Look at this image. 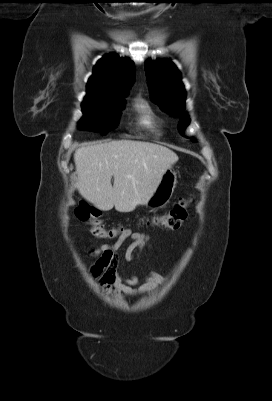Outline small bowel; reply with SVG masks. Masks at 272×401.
Instances as JSON below:
<instances>
[{
  "mask_svg": "<svg viewBox=\"0 0 272 401\" xmlns=\"http://www.w3.org/2000/svg\"><path fill=\"white\" fill-rule=\"evenodd\" d=\"M128 239L130 244L124 254V259L127 261L135 259L141 250L148 247L147 235L126 228L113 245L101 244L90 250V254L96 258L90 266V274L94 278H99L104 288L127 295L144 294L165 282L166 278L157 272H151L144 277L143 283L137 286L139 284L137 276H123L119 272L117 251Z\"/></svg>",
  "mask_w": 272,
  "mask_h": 401,
  "instance_id": "small-bowel-1",
  "label": "small bowel"
}]
</instances>
